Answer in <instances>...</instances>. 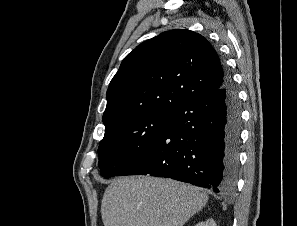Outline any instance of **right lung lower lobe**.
<instances>
[{"mask_svg":"<svg viewBox=\"0 0 297 226\" xmlns=\"http://www.w3.org/2000/svg\"><path fill=\"white\" fill-rule=\"evenodd\" d=\"M225 73L221 88L181 103L172 122L116 175L149 174L215 192L232 190L239 166L241 106L232 77Z\"/></svg>","mask_w":297,"mask_h":226,"instance_id":"right-lung-lower-lobe-1","label":"right lung lower lobe"}]
</instances>
